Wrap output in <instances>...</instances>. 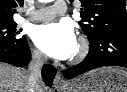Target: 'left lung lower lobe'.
Segmentation results:
<instances>
[{
	"label": "left lung lower lobe",
	"instance_id": "1",
	"mask_svg": "<svg viewBox=\"0 0 127 92\" xmlns=\"http://www.w3.org/2000/svg\"><path fill=\"white\" fill-rule=\"evenodd\" d=\"M127 68V33L104 32L90 42V51L84 61L64 70V77L74 78L102 66Z\"/></svg>",
	"mask_w": 127,
	"mask_h": 92
}]
</instances>
